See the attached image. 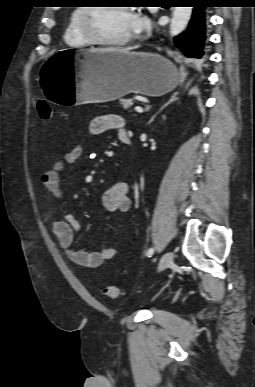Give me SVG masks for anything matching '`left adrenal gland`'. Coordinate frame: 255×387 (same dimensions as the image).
I'll list each match as a JSON object with an SVG mask.
<instances>
[{"label": "left adrenal gland", "mask_w": 255, "mask_h": 387, "mask_svg": "<svg viewBox=\"0 0 255 387\" xmlns=\"http://www.w3.org/2000/svg\"><path fill=\"white\" fill-rule=\"evenodd\" d=\"M177 100V97H176V94L172 95L171 98L168 100V102H166L151 118L150 120L148 121V125H150L154 119L156 118V116L165 108L167 107L169 104H171L172 102L176 101Z\"/></svg>", "instance_id": "left-adrenal-gland-1"}]
</instances>
